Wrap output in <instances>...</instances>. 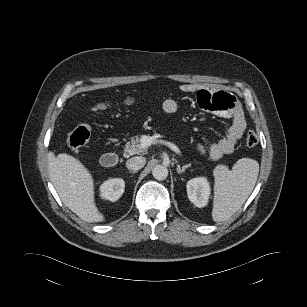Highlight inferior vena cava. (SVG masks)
<instances>
[{
    "label": "inferior vena cava",
    "mask_w": 307,
    "mask_h": 307,
    "mask_svg": "<svg viewBox=\"0 0 307 307\" xmlns=\"http://www.w3.org/2000/svg\"><path fill=\"white\" fill-rule=\"evenodd\" d=\"M145 164H146V159L144 157L136 156V157L130 158L126 162V167L130 170L137 171L143 168Z\"/></svg>",
    "instance_id": "602c4592"
}]
</instances>
